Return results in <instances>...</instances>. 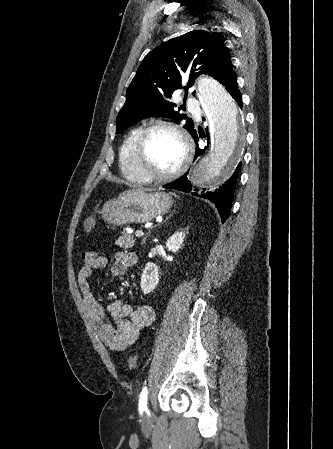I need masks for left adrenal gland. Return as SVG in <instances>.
<instances>
[{
  "label": "left adrenal gland",
  "mask_w": 333,
  "mask_h": 449,
  "mask_svg": "<svg viewBox=\"0 0 333 449\" xmlns=\"http://www.w3.org/2000/svg\"><path fill=\"white\" fill-rule=\"evenodd\" d=\"M172 216H173V213L170 214V215L166 218V220L170 219ZM149 234H150V231L148 232L147 236L143 239L142 244L145 243V241H146L147 237L149 236Z\"/></svg>",
  "instance_id": "1"
}]
</instances>
